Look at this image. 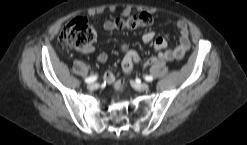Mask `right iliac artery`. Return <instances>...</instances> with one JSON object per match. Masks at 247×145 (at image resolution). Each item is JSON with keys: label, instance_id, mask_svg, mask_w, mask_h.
Wrapping results in <instances>:
<instances>
[{"label": "right iliac artery", "instance_id": "82829eb1", "mask_svg": "<svg viewBox=\"0 0 247 145\" xmlns=\"http://www.w3.org/2000/svg\"><path fill=\"white\" fill-rule=\"evenodd\" d=\"M96 79H97V76H96V75H93V76H90V77L86 78V79H85V82H86V83H92V82H94Z\"/></svg>", "mask_w": 247, "mask_h": 145}]
</instances>
